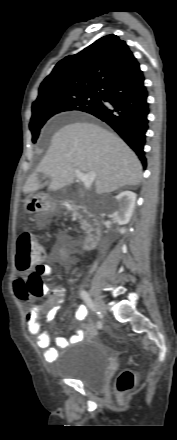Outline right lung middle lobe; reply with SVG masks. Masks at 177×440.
<instances>
[{"mask_svg":"<svg viewBox=\"0 0 177 440\" xmlns=\"http://www.w3.org/2000/svg\"><path fill=\"white\" fill-rule=\"evenodd\" d=\"M103 94H73L57 98L40 107L32 108V118L29 128L32 132V141L35 143L45 122L55 114L65 111L79 110L86 112L97 106Z\"/></svg>","mask_w":177,"mask_h":440,"instance_id":"dd1d6c3e","label":"right lung middle lobe"}]
</instances>
